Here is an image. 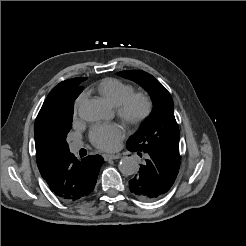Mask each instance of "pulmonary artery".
I'll use <instances>...</instances> for the list:
<instances>
[{
  "instance_id": "1",
  "label": "pulmonary artery",
  "mask_w": 246,
  "mask_h": 246,
  "mask_svg": "<svg viewBox=\"0 0 246 246\" xmlns=\"http://www.w3.org/2000/svg\"><path fill=\"white\" fill-rule=\"evenodd\" d=\"M82 147V143L75 141L71 143V150L77 152Z\"/></svg>"
}]
</instances>
